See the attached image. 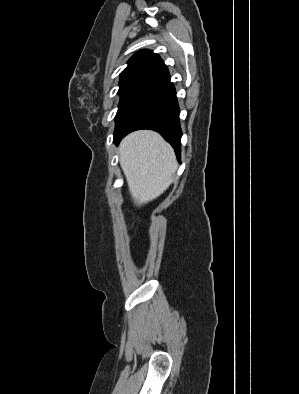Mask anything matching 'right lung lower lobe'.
<instances>
[{
    "mask_svg": "<svg viewBox=\"0 0 299 394\" xmlns=\"http://www.w3.org/2000/svg\"><path fill=\"white\" fill-rule=\"evenodd\" d=\"M139 129L159 132L172 145L180 161L179 107L169 76L146 90L128 108L115 128L113 142L118 145L125 135Z\"/></svg>",
    "mask_w": 299,
    "mask_h": 394,
    "instance_id": "right-lung-lower-lobe-1",
    "label": "right lung lower lobe"
}]
</instances>
